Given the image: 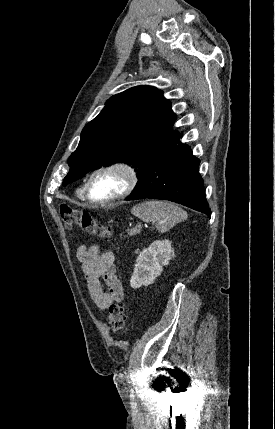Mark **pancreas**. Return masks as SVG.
I'll return each mask as SVG.
<instances>
[{
	"label": "pancreas",
	"instance_id": "obj_1",
	"mask_svg": "<svg viewBox=\"0 0 275 429\" xmlns=\"http://www.w3.org/2000/svg\"><path fill=\"white\" fill-rule=\"evenodd\" d=\"M127 233L129 236H134L140 233V229L138 228H132L130 230H127Z\"/></svg>",
	"mask_w": 275,
	"mask_h": 429
}]
</instances>
